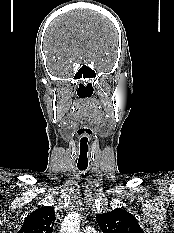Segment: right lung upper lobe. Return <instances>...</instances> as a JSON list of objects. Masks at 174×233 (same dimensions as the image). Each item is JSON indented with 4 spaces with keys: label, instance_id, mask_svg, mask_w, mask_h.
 <instances>
[{
    "label": "right lung upper lobe",
    "instance_id": "obj_1",
    "mask_svg": "<svg viewBox=\"0 0 174 233\" xmlns=\"http://www.w3.org/2000/svg\"><path fill=\"white\" fill-rule=\"evenodd\" d=\"M55 212L50 206H42L29 214L18 233H52Z\"/></svg>",
    "mask_w": 174,
    "mask_h": 233
}]
</instances>
